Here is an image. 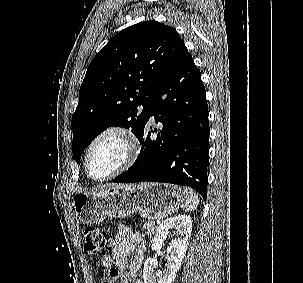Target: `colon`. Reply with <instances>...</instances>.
I'll return each instance as SVG.
<instances>
[{"label":"colon","mask_w":303,"mask_h":283,"mask_svg":"<svg viewBox=\"0 0 303 283\" xmlns=\"http://www.w3.org/2000/svg\"><path fill=\"white\" fill-rule=\"evenodd\" d=\"M85 251L89 254H98L111 244V237L106 230L88 225L82 232ZM118 277V271L110 268L103 276L102 283H114Z\"/></svg>","instance_id":"colon-1"}]
</instances>
